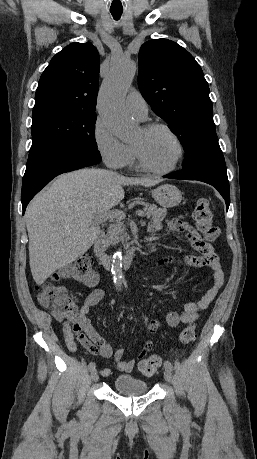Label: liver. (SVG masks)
Wrapping results in <instances>:
<instances>
[{
    "mask_svg": "<svg viewBox=\"0 0 257 459\" xmlns=\"http://www.w3.org/2000/svg\"><path fill=\"white\" fill-rule=\"evenodd\" d=\"M160 182L95 168L57 177L30 202L25 213L30 268L36 284H43L90 249L100 233L98 218L124 198L123 186L151 187Z\"/></svg>",
    "mask_w": 257,
    "mask_h": 459,
    "instance_id": "obj_1",
    "label": "liver"
}]
</instances>
